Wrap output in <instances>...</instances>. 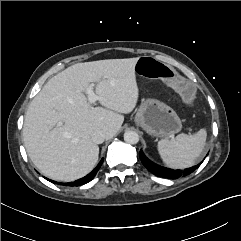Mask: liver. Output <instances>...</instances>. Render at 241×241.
Listing matches in <instances>:
<instances>
[{
    "label": "liver",
    "mask_w": 241,
    "mask_h": 241,
    "mask_svg": "<svg viewBox=\"0 0 241 241\" xmlns=\"http://www.w3.org/2000/svg\"><path fill=\"white\" fill-rule=\"evenodd\" d=\"M138 58L107 59L72 65L48 80L25 115L23 140L33 164L57 181H74L96 165L99 147L91 139L102 130L107 139L121 128L135 108L139 90ZM94 83L102 107L88 102Z\"/></svg>",
    "instance_id": "6515ba94"
}]
</instances>
